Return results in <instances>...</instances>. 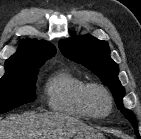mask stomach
I'll return each instance as SVG.
<instances>
[{"instance_id": "obj_1", "label": "stomach", "mask_w": 141, "mask_h": 139, "mask_svg": "<svg viewBox=\"0 0 141 139\" xmlns=\"http://www.w3.org/2000/svg\"><path fill=\"white\" fill-rule=\"evenodd\" d=\"M73 139H104L103 135L95 130L77 133Z\"/></svg>"}]
</instances>
